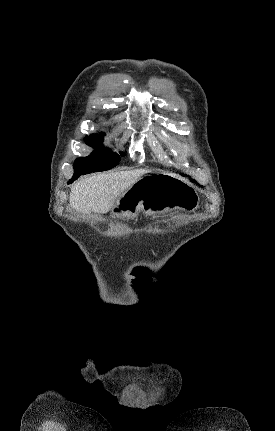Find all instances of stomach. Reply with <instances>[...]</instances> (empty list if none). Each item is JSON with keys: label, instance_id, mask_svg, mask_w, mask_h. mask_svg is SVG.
<instances>
[{"label": "stomach", "instance_id": "1", "mask_svg": "<svg viewBox=\"0 0 275 431\" xmlns=\"http://www.w3.org/2000/svg\"><path fill=\"white\" fill-rule=\"evenodd\" d=\"M199 201L196 190L186 181L167 173H152L123 192L111 213L123 218H134L141 211L149 216L174 210L189 213L198 208Z\"/></svg>", "mask_w": 275, "mask_h": 431}]
</instances>
